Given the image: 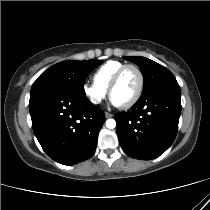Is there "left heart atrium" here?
<instances>
[{
  "label": "left heart atrium",
  "instance_id": "obj_1",
  "mask_svg": "<svg viewBox=\"0 0 210 210\" xmlns=\"http://www.w3.org/2000/svg\"><path fill=\"white\" fill-rule=\"evenodd\" d=\"M110 101H111V104H112V105H114V106H119V104H118L114 99L111 98Z\"/></svg>",
  "mask_w": 210,
  "mask_h": 210
}]
</instances>
